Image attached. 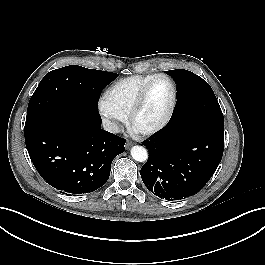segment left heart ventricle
Segmentation results:
<instances>
[{
	"mask_svg": "<svg viewBox=\"0 0 265 265\" xmlns=\"http://www.w3.org/2000/svg\"><path fill=\"white\" fill-rule=\"evenodd\" d=\"M172 100V87L168 80L158 79L149 91L146 102L135 120L137 129L150 128L166 115Z\"/></svg>",
	"mask_w": 265,
	"mask_h": 265,
	"instance_id": "b2bd125f",
	"label": "left heart ventricle"
}]
</instances>
